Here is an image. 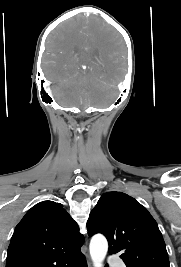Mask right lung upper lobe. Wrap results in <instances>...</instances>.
<instances>
[{
  "instance_id": "1",
  "label": "right lung upper lobe",
  "mask_w": 181,
  "mask_h": 267,
  "mask_svg": "<svg viewBox=\"0 0 181 267\" xmlns=\"http://www.w3.org/2000/svg\"><path fill=\"white\" fill-rule=\"evenodd\" d=\"M84 242L77 223L54 201L31 208L16 226L6 267H55L81 252Z\"/></svg>"
}]
</instances>
